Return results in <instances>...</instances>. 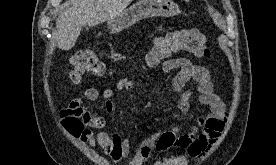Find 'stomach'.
I'll return each mask as SVG.
<instances>
[{"mask_svg":"<svg viewBox=\"0 0 276 165\" xmlns=\"http://www.w3.org/2000/svg\"><path fill=\"white\" fill-rule=\"evenodd\" d=\"M172 0H139L116 17L108 21L111 33H118L149 17H173L180 13Z\"/></svg>","mask_w":276,"mask_h":165,"instance_id":"obj_1","label":"stomach"}]
</instances>
